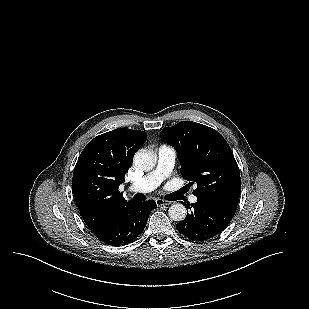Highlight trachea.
<instances>
[{
  "label": "trachea",
  "mask_w": 309,
  "mask_h": 309,
  "mask_svg": "<svg viewBox=\"0 0 309 309\" xmlns=\"http://www.w3.org/2000/svg\"><path fill=\"white\" fill-rule=\"evenodd\" d=\"M134 200H135V201H144V200H145V196H143V195H141V194H136V195L134 196ZM168 200H170V199H168Z\"/></svg>",
  "instance_id": "1"
}]
</instances>
